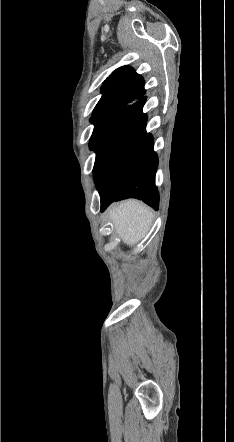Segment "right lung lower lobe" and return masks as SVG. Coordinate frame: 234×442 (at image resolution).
<instances>
[{"instance_id": "98d812e1", "label": "right lung lower lobe", "mask_w": 234, "mask_h": 442, "mask_svg": "<svg viewBox=\"0 0 234 442\" xmlns=\"http://www.w3.org/2000/svg\"><path fill=\"white\" fill-rule=\"evenodd\" d=\"M146 96L119 112L95 147L94 180L101 198V211L110 203L138 198L158 209L155 186L158 157L153 137L146 132L142 112Z\"/></svg>"}]
</instances>
